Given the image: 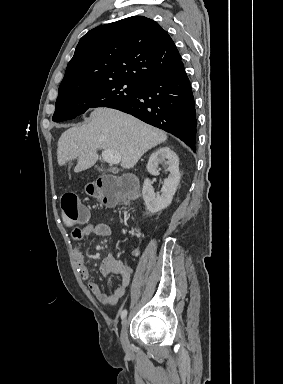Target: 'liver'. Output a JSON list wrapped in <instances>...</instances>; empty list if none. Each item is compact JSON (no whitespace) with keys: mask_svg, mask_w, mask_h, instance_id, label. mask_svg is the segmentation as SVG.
Listing matches in <instances>:
<instances>
[{"mask_svg":"<svg viewBox=\"0 0 283 384\" xmlns=\"http://www.w3.org/2000/svg\"><path fill=\"white\" fill-rule=\"evenodd\" d=\"M162 130L152 128L137 118L110 108H95L89 124L69 128L59 138L57 160L65 166L78 160L75 172H83L98 160L97 150H116L121 156V166L130 170L151 148L166 142Z\"/></svg>","mask_w":283,"mask_h":384,"instance_id":"obj_1","label":"liver"}]
</instances>
